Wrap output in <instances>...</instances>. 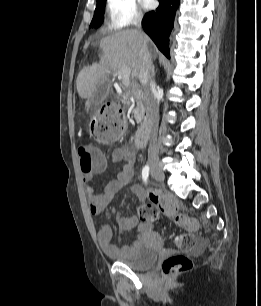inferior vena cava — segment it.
Wrapping results in <instances>:
<instances>
[{"mask_svg":"<svg viewBox=\"0 0 261 306\" xmlns=\"http://www.w3.org/2000/svg\"><path fill=\"white\" fill-rule=\"evenodd\" d=\"M134 25L141 29V18L134 20ZM139 80L144 87L145 100L149 109L150 117L154 122V128L157 127L159 99L157 96L156 85L154 81V66L152 65L151 55L146 45L139 50ZM149 152H154V147L150 145Z\"/></svg>","mask_w":261,"mask_h":306,"instance_id":"1","label":"inferior vena cava"}]
</instances>
